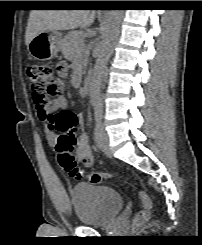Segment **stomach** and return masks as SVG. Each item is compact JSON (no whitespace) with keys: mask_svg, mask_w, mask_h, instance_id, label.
Returning <instances> with one entry per match:
<instances>
[{"mask_svg":"<svg viewBox=\"0 0 202 245\" xmlns=\"http://www.w3.org/2000/svg\"><path fill=\"white\" fill-rule=\"evenodd\" d=\"M61 42L62 36L58 31H43L30 41L28 50L33 58L46 61L57 55Z\"/></svg>","mask_w":202,"mask_h":245,"instance_id":"obj_1","label":"stomach"}]
</instances>
